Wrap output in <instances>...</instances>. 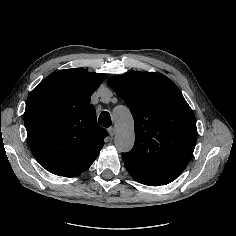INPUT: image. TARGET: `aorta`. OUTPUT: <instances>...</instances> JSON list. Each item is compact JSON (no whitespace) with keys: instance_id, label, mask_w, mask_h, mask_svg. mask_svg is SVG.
<instances>
[{"instance_id":"obj_1","label":"aorta","mask_w":236,"mask_h":236,"mask_svg":"<svg viewBox=\"0 0 236 236\" xmlns=\"http://www.w3.org/2000/svg\"><path fill=\"white\" fill-rule=\"evenodd\" d=\"M117 134L115 146L120 152H128L135 142L134 121L129 109L125 106L117 107L113 112Z\"/></svg>"}]
</instances>
